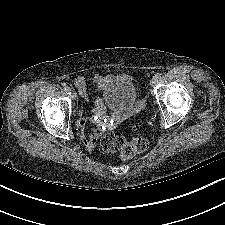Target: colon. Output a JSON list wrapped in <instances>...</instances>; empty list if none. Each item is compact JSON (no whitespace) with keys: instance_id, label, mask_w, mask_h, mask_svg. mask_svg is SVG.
Here are the masks:
<instances>
[{"instance_id":"colon-1","label":"colon","mask_w":225,"mask_h":225,"mask_svg":"<svg viewBox=\"0 0 225 225\" xmlns=\"http://www.w3.org/2000/svg\"><path fill=\"white\" fill-rule=\"evenodd\" d=\"M99 145L103 152H119L123 159L128 160L147 150L149 143L142 136L127 140L121 133H106L100 139Z\"/></svg>"}]
</instances>
